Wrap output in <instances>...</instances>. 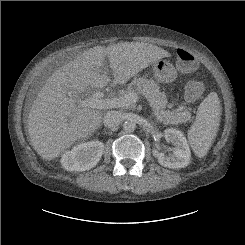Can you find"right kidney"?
I'll list each match as a JSON object with an SVG mask.
<instances>
[{"mask_svg": "<svg viewBox=\"0 0 245 245\" xmlns=\"http://www.w3.org/2000/svg\"><path fill=\"white\" fill-rule=\"evenodd\" d=\"M104 144L100 141H89L66 151L61 164L67 171H86L95 167L102 157Z\"/></svg>", "mask_w": 245, "mask_h": 245, "instance_id": "ca27d5eb", "label": "right kidney"}]
</instances>
